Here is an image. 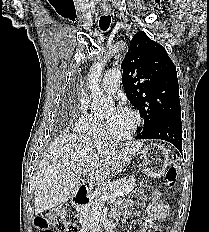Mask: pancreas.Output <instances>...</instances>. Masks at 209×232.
<instances>
[{
    "mask_svg": "<svg viewBox=\"0 0 209 232\" xmlns=\"http://www.w3.org/2000/svg\"><path fill=\"white\" fill-rule=\"evenodd\" d=\"M136 179L134 176H130L128 179H118L113 181L112 183L100 188V192L111 193L115 191L123 192V195H127L130 193L135 187ZM101 203V199L99 197V192L95 191L91 195L90 202L79 209V213L76 217L79 221L85 226L90 228L92 231L96 229L98 223L95 219V207Z\"/></svg>",
    "mask_w": 209,
    "mask_h": 232,
    "instance_id": "cf45deb5",
    "label": "pancreas"
}]
</instances>
